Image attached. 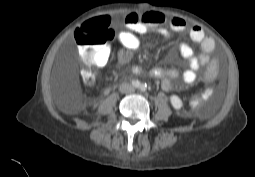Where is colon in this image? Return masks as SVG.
Listing matches in <instances>:
<instances>
[{
  "label": "colon",
  "mask_w": 255,
  "mask_h": 177,
  "mask_svg": "<svg viewBox=\"0 0 255 177\" xmlns=\"http://www.w3.org/2000/svg\"><path fill=\"white\" fill-rule=\"evenodd\" d=\"M113 37V31L109 28V22L106 18L90 20L82 25L81 32L75 33L76 43L81 51L82 64L85 68L82 72V78L87 83L93 82L94 71L99 67L96 52L109 47ZM211 71H207V79H212L210 77Z\"/></svg>",
  "instance_id": "obj_1"
}]
</instances>
